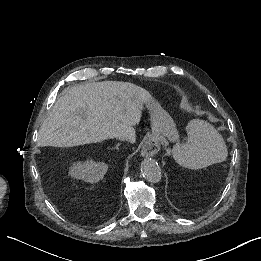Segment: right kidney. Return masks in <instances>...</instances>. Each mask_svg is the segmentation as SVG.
Returning <instances> with one entry per match:
<instances>
[{
	"label": "right kidney",
	"instance_id": "obj_1",
	"mask_svg": "<svg viewBox=\"0 0 261 261\" xmlns=\"http://www.w3.org/2000/svg\"><path fill=\"white\" fill-rule=\"evenodd\" d=\"M106 171L107 165L105 163L88 160L74 165L70 170V175L76 179H84L87 182L95 183L103 178Z\"/></svg>",
	"mask_w": 261,
	"mask_h": 261
}]
</instances>
